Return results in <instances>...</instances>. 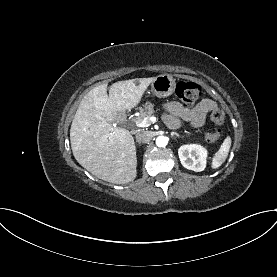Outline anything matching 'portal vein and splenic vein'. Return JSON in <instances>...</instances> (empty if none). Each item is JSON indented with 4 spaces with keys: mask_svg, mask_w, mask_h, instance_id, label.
Listing matches in <instances>:
<instances>
[{
    "mask_svg": "<svg viewBox=\"0 0 277 277\" xmlns=\"http://www.w3.org/2000/svg\"><path fill=\"white\" fill-rule=\"evenodd\" d=\"M155 121H156V117L151 116V117H146L142 120H136L135 123L137 127L144 128V127L150 126V124L154 123Z\"/></svg>",
    "mask_w": 277,
    "mask_h": 277,
    "instance_id": "portal-vein-and-splenic-vein-1",
    "label": "portal vein and splenic vein"
}]
</instances>
